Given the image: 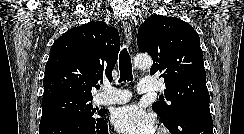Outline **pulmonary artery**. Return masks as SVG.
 I'll use <instances>...</instances> for the list:
<instances>
[{"label":"pulmonary artery","mask_w":244,"mask_h":134,"mask_svg":"<svg viewBox=\"0 0 244 134\" xmlns=\"http://www.w3.org/2000/svg\"><path fill=\"white\" fill-rule=\"evenodd\" d=\"M165 87L152 80L151 78H144L138 85L139 93H150L156 91H164ZM131 99V93L128 90L117 89L110 85L103 87V92L96 97V103L101 105L106 104H123Z\"/></svg>","instance_id":"1"}]
</instances>
